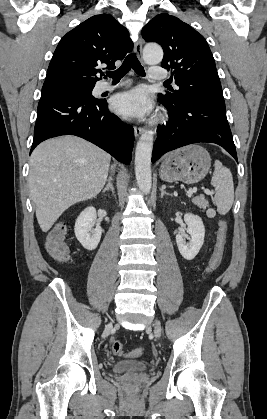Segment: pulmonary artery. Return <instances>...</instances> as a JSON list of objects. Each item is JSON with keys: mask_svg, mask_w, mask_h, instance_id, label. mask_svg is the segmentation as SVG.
<instances>
[{"mask_svg": "<svg viewBox=\"0 0 267 419\" xmlns=\"http://www.w3.org/2000/svg\"><path fill=\"white\" fill-rule=\"evenodd\" d=\"M149 77L153 80H163V79L167 78V73L162 68L151 67L150 72H149ZM121 85H122V83L118 84V85H111L110 83L104 82V83L100 84L99 91L100 92H105V91L114 89L116 87H119Z\"/></svg>", "mask_w": 267, "mask_h": 419, "instance_id": "e3ab8cb5", "label": "pulmonary artery"}]
</instances>
